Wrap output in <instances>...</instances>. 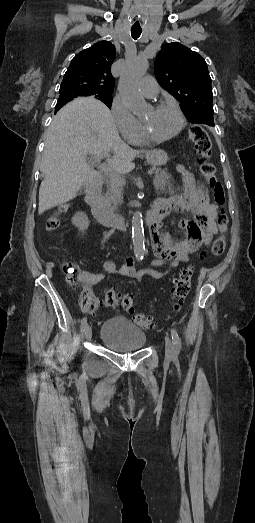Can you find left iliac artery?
I'll list each match as a JSON object with an SVG mask.
<instances>
[{
    "label": "left iliac artery",
    "mask_w": 255,
    "mask_h": 523,
    "mask_svg": "<svg viewBox=\"0 0 255 523\" xmlns=\"http://www.w3.org/2000/svg\"><path fill=\"white\" fill-rule=\"evenodd\" d=\"M171 336H172V343L175 347V353H176V355H178L180 352V349H181V341H180L177 331L173 328L171 329Z\"/></svg>",
    "instance_id": "left-iliac-artery-1"
}]
</instances>
